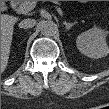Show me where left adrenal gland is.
Masks as SVG:
<instances>
[{
    "instance_id": "left-adrenal-gland-1",
    "label": "left adrenal gland",
    "mask_w": 109,
    "mask_h": 109,
    "mask_svg": "<svg viewBox=\"0 0 109 109\" xmlns=\"http://www.w3.org/2000/svg\"><path fill=\"white\" fill-rule=\"evenodd\" d=\"M76 23H77L76 21L73 22V23H68V22L65 21L63 24L65 25V27H66L67 30H70V28L72 26H74Z\"/></svg>"
}]
</instances>
